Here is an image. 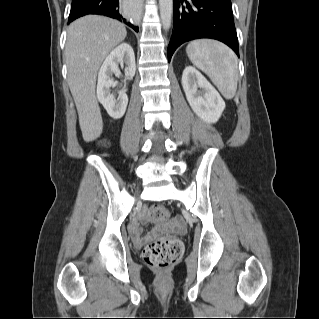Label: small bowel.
I'll use <instances>...</instances> for the list:
<instances>
[{
	"mask_svg": "<svg viewBox=\"0 0 319 319\" xmlns=\"http://www.w3.org/2000/svg\"><path fill=\"white\" fill-rule=\"evenodd\" d=\"M149 220L144 216V213H142L141 218H134L132 222L129 225V230L133 237L140 238V232H141V224L146 223ZM155 231L153 234L149 235L147 237V240L152 239L156 236L157 233H159L163 229V225L157 222H154ZM167 229L169 231L182 233L185 230L183 220L181 217H174L167 225Z\"/></svg>",
	"mask_w": 319,
	"mask_h": 319,
	"instance_id": "obj_1",
	"label": "small bowel"
}]
</instances>
